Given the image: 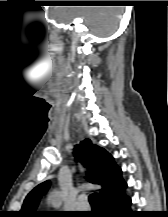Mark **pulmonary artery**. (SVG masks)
<instances>
[{"label":"pulmonary artery","instance_id":"obj_1","mask_svg":"<svg viewBox=\"0 0 168 217\" xmlns=\"http://www.w3.org/2000/svg\"><path fill=\"white\" fill-rule=\"evenodd\" d=\"M86 197L84 195H80L78 198H77V208L80 209V210H85L88 208V204L87 202L85 201Z\"/></svg>","mask_w":168,"mask_h":217}]
</instances>
